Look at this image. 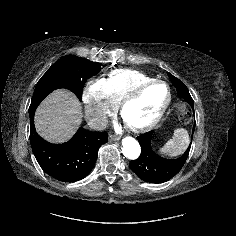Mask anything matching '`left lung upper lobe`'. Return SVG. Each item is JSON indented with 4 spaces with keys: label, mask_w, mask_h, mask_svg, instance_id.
Wrapping results in <instances>:
<instances>
[{
    "label": "left lung upper lobe",
    "mask_w": 236,
    "mask_h": 236,
    "mask_svg": "<svg viewBox=\"0 0 236 236\" xmlns=\"http://www.w3.org/2000/svg\"><path fill=\"white\" fill-rule=\"evenodd\" d=\"M168 76H169L172 84L176 87L178 96H180L184 99H192L187 87L184 85V83L181 80L174 77L170 73H168Z\"/></svg>",
    "instance_id": "1"
}]
</instances>
